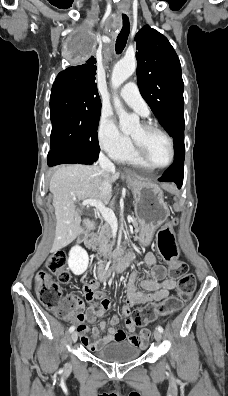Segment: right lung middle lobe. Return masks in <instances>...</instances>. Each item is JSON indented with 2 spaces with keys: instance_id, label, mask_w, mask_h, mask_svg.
<instances>
[{
  "instance_id": "1",
  "label": "right lung middle lobe",
  "mask_w": 228,
  "mask_h": 396,
  "mask_svg": "<svg viewBox=\"0 0 228 396\" xmlns=\"http://www.w3.org/2000/svg\"><path fill=\"white\" fill-rule=\"evenodd\" d=\"M92 49V42L81 36L75 56L85 59ZM100 113V98L82 95L68 86L53 85L50 96V152L59 153L80 164L96 161L100 151L97 138Z\"/></svg>"
}]
</instances>
